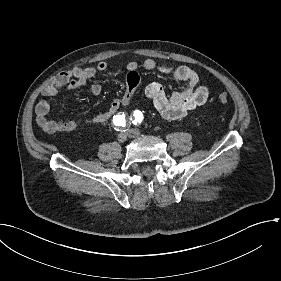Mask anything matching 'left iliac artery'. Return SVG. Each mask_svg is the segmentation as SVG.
Listing matches in <instances>:
<instances>
[{
	"mask_svg": "<svg viewBox=\"0 0 281 281\" xmlns=\"http://www.w3.org/2000/svg\"><path fill=\"white\" fill-rule=\"evenodd\" d=\"M130 119L132 120L133 124L135 125L140 124L143 120V114L141 111L135 110Z\"/></svg>",
	"mask_w": 281,
	"mask_h": 281,
	"instance_id": "obj_1",
	"label": "left iliac artery"
}]
</instances>
